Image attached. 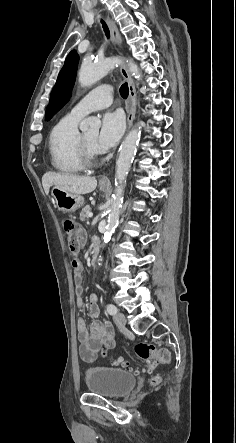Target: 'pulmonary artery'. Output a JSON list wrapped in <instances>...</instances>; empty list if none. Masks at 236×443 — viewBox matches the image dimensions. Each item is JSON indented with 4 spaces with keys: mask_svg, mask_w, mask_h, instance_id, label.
<instances>
[{
    "mask_svg": "<svg viewBox=\"0 0 236 443\" xmlns=\"http://www.w3.org/2000/svg\"><path fill=\"white\" fill-rule=\"evenodd\" d=\"M113 87L102 85L83 96L71 109V114L83 117L91 111L108 107L113 101Z\"/></svg>",
    "mask_w": 236,
    "mask_h": 443,
    "instance_id": "pulmonary-artery-1",
    "label": "pulmonary artery"
}]
</instances>
